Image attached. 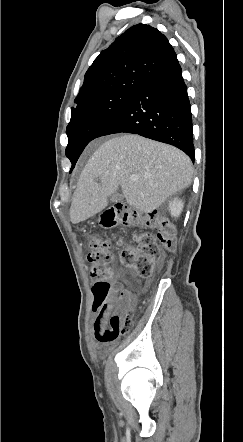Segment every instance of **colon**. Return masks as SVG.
<instances>
[{
    "instance_id": "obj_1",
    "label": "colon",
    "mask_w": 243,
    "mask_h": 442,
    "mask_svg": "<svg viewBox=\"0 0 243 442\" xmlns=\"http://www.w3.org/2000/svg\"><path fill=\"white\" fill-rule=\"evenodd\" d=\"M102 228L110 229L117 225L138 226L145 224L157 228L155 234L144 233L137 240V247L119 242L121 247V263L135 267L141 277L152 274L154 262L161 256V248L173 251L176 246L172 229L160 220L155 212L145 214L133 213L123 204H115L105 210L99 220ZM88 260L90 276L93 281V307L100 308L113 304L116 288L113 285L114 270L110 265V243L94 236L89 240ZM135 310L133 307L114 314L109 322V328L101 336L103 341H113L120 335L127 333L133 324Z\"/></svg>"
}]
</instances>
